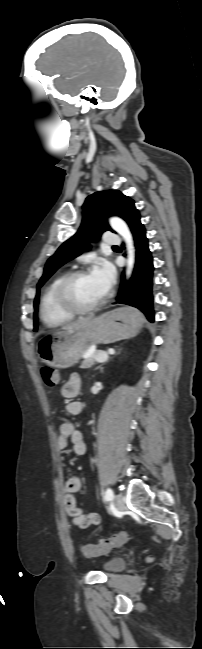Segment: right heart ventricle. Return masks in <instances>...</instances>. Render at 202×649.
Returning a JSON list of instances; mask_svg holds the SVG:
<instances>
[{"label":"right heart ventricle","instance_id":"1","mask_svg":"<svg viewBox=\"0 0 202 649\" xmlns=\"http://www.w3.org/2000/svg\"><path fill=\"white\" fill-rule=\"evenodd\" d=\"M60 273L45 287L40 304V313L43 322L50 327H57L73 319L74 315L63 309L57 299V288L66 276Z\"/></svg>","mask_w":202,"mask_h":649}]
</instances>
